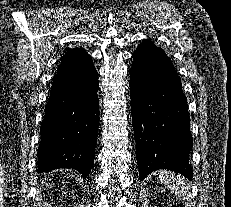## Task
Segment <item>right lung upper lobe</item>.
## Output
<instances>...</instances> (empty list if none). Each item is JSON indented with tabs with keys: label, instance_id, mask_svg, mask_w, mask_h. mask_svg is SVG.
<instances>
[{
	"label": "right lung upper lobe",
	"instance_id": "1",
	"mask_svg": "<svg viewBox=\"0 0 231 207\" xmlns=\"http://www.w3.org/2000/svg\"><path fill=\"white\" fill-rule=\"evenodd\" d=\"M89 55L83 48H75L69 50L62 56L61 67L74 68L76 65L82 63V61L87 60Z\"/></svg>",
	"mask_w": 231,
	"mask_h": 207
}]
</instances>
